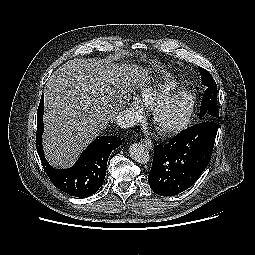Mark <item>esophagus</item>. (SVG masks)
I'll return each instance as SVG.
<instances>
[{
	"label": "esophagus",
	"instance_id": "1",
	"mask_svg": "<svg viewBox=\"0 0 255 255\" xmlns=\"http://www.w3.org/2000/svg\"><path fill=\"white\" fill-rule=\"evenodd\" d=\"M141 143L146 147L148 148L149 150H152L153 149V142L151 140H148V139H142L141 140Z\"/></svg>",
	"mask_w": 255,
	"mask_h": 255
}]
</instances>
